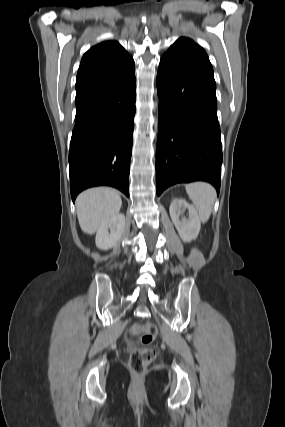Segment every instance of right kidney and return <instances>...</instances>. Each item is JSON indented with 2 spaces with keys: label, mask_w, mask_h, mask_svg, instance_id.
I'll return each mask as SVG.
<instances>
[{
  "label": "right kidney",
  "mask_w": 285,
  "mask_h": 427,
  "mask_svg": "<svg viewBox=\"0 0 285 427\" xmlns=\"http://www.w3.org/2000/svg\"><path fill=\"white\" fill-rule=\"evenodd\" d=\"M124 229V214L118 213L112 216L98 228L95 239L96 246L102 250H108L116 246L122 239Z\"/></svg>",
  "instance_id": "right-kidney-1"
}]
</instances>
